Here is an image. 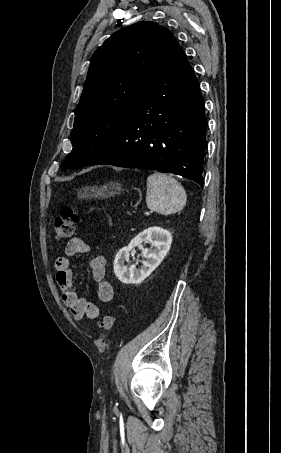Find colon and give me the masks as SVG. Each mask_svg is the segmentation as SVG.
<instances>
[{
    "mask_svg": "<svg viewBox=\"0 0 281 453\" xmlns=\"http://www.w3.org/2000/svg\"><path fill=\"white\" fill-rule=\"evenodd\" d=\"M77 204L64 203L62 205L61 215L54 220V233L57 239L67 240L71 238L76 227L80 223V216L76 212ZM115 323L114 313L106 311L102 314L99 329L101 332L108 334L112 332Z\"/></svg>",
    "mask_w": 281,
    "mask_h": 453,
    "instance_id": "5ec220e1",
    "label": "colon"
}]
</instances>
